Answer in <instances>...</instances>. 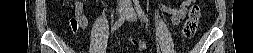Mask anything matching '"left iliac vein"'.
Segmentation results:
<instances>
[{"instance_id":"obj_1","label":"left iliac vein","mask_w":253,"mask_h":53,"mask_svg":"<svg viewBox=\"0 0 253 53\" xmlns=\"http://www.w3.org/2000/svg\"><path fill=\"white\" fill-rule=\"evenodd\" d=\"M125 16H126L127 20H129V21H136V19H137L136 13L130 5L128 7V10H127Z\"/></svg>"}]
</instances>
